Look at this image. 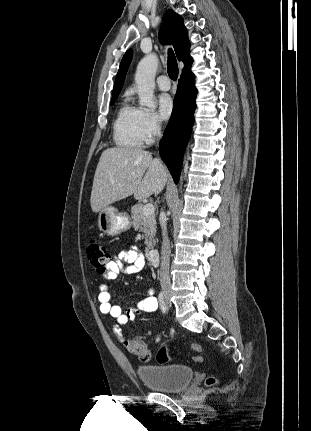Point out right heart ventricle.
I'll return each instance as SVG.
<instances>
[{
    "label": "right heart ventricle",
    "mask_w": 311,
    "mask_h": 431,
    "mask_svg": "<svg viewBox=\"0 0 311 431\" xmlns=\"http://www.w3.org/2000/svg\"><path fill=\"white\" fill-rule=\"evenodd\" d=\"M142 110L124 101L118 108L113 123V140L117 147L139 149L145 141Z\"/></svg>",
    "instance_id": "right-heart-ventricle-1"
}]
</instances>
